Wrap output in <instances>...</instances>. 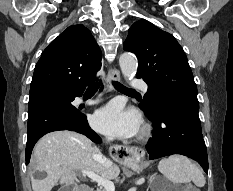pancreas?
Masks as SVG:
<instances>
[{
	"instance_id": "obj_1",
	"label": "pancreas",
	"mask_w": 233,
	"mask_h": 191,
	"mask_svg": "<svg viewBox=\"0 0 233 191\" xmlns=\"http://www.w3.org/2000/svg\"><path fill=\"white\" fill-rule=\"evenodd\" d=\"M153 178V176L150 177V180ZM98 191H106L105 189H100Z\"/></svg>"
}]
</instances>
